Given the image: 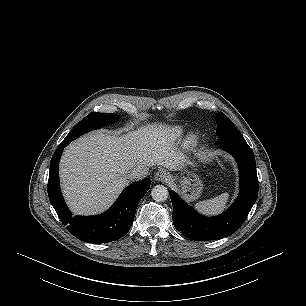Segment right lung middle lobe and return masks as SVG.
<instances>
[{
  "instance_id": "right-lung-middle-lobe-1",
  "label": "right lung middle lobe",
  "mask_w": 306,
  "mask_h": 306,
  "mask_svg": "<svg viewBox=\"0 0 306 306\" xmlns=\"http://www.w3.org/2000/svg\"><path fill=\"white\" fill-rule=\"evenodd\" d=\"M118 119L116 114L109 113H98L92 112L88 116H86L83 120H81L66 136V138L62 141L63 143H70L75 140L82 134L89 132L93 129H98L103 127L104 125L111 124Z\"/></svg>"
}]
</instances>
